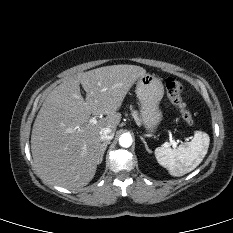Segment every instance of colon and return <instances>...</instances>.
Returning <instances> with one entry per match:
<instances>
[{"instance_id": "colon-1", "label": "colon", "mask_w": 233, "mask_h": 233, "mask_svg": "<svg viewBox=\"0 0 233 233\" xmlns=\"http://www.w3.org/2000/svg\"><path fill=\"white\" fill-rule=\"evenodd\" d=\"M165 89L167 93V97L169 98L170 102L178 109L182 119L188 123H193V116L191 112L188 110L186 103L183 101L181 97L182 85L181 83L169 77L165 81Z\"/></svg>"}]
</instances>
